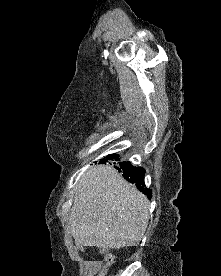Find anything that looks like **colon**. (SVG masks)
<instances>
[{
	"mask_svg": "<svg viewBox=\"0 0 221 276\" xmlns=\"http://www.w3.org/2000/svg\"><path fill=\"white\" fill-rule=\"evenodd\" d=\"M105 259H106V261H108V262H112V261L114 260V256H113L111 253L106 252V253H105Z\"/></svg>",
	"mask_w": 221,
	"mask_h": 276,
	"instance_id": "1",
	"label": "colon"
}]
</instances>
